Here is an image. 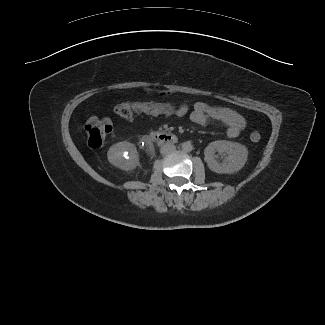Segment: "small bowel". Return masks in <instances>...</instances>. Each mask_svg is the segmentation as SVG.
<instances>
[{"instance_id": "obj_1", "label": "small bowel", "mask_w": 325, "mask_h": 325, "mask_svg": "<svg viewBox=\"0 0 325 325\" xmlns=\"http://www.w3.org/2000/svg\"><path fill=\"white\" fill-rule=\"evenodd\" d=\"M172 94L171 91L163 90L155 92L153 95L157 97H163ZM153 101H142V102H134V110L136 113L147 114L144 111V106L147 103H152ZM176 105L181 106L182 113L176 117H184L190 111V105L185 101H180L176 103ZM189 119L194 124L200 126H207L212 122H218L226 126L227 136L229 138H236L239 136L240 132L245 127L244 118L235 110L228 107L221 106H211L204 102H196L193 105L191 112L189 113Z\"/></svg>"}]
</instances>
